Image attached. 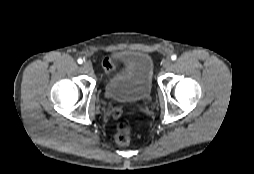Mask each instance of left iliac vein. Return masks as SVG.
I'll return each mask as SVG.
<instances>
[{
  "label": "left iliac vein",
  "mask_w": 254,
  "mask_h": 174,
  "mask_svg": "<svg viewBox=\"0 0 254 174\" xmlns=\"http://www.w3.org/2000/svg\"><path fill=\"white\" fill-rule=\"evenodd\" d=\"M172 66V60L170 58H166L163 62V67L165 69H169Z\"/></svg>",
  "instance_id": "left-iliac-vein-1"
}]
</instances>
